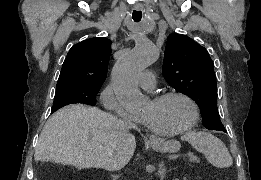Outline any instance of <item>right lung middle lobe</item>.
Segmentation results:
<instances>
[{"instance_id": "1", "label": "right lung middle lobe", "mask_w": 261, "mask_h": 180, "mask_svg": "<svg viewBox=\"0 0 261 180\" xmlns=\"http://www.w3.org/2000/svg\"><path fill=\"white\" fill-rule=\"evenodd\" d=\"M100 87L83 84L57 86L52 112L73 103L94 106L96 104L95 96L99 92Z\"/></svg>"}]
</instances>
